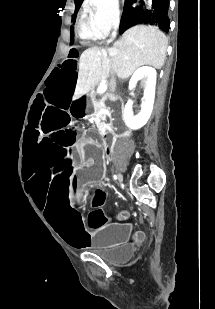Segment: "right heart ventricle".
<instances>
[{
	"label": "right heart ventricle",
	"mask_w": 215,
	"mask_h": 309,
	"mask_svg": "<svg viewBox=\"0 0 215 309\" xmlns=\"http://www.w3.org/2000/svg\"><path fill=\"white\" fill-rule=\"evenodd\" d=\"M78 24L80 26L79 33L85 34V37L91 36L90 33L94 32V29H92L93 28L92 19H79Z\"/></svg>",
	"instance_id": "1"
}]
</instances>
